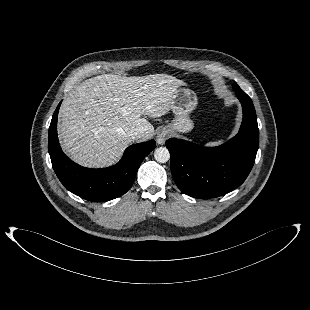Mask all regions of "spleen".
Segmentation results:
<instances>
[{
    "instance_id": "spleen-1",
    "label": "spleen",
    "mask_w": 310,
    "mask_h": 310,
    "mask_svg": "<svg viewBox=\"0 0 310 310\" xmlns=\"http://www.w3.org/2000/svg\"><path fill=\"white\" fill-rule=\"evenodd\" d=\"M223 142V140H219L217 142H211V143H208V145H219Z\"/></svg>"
}]
</instances>
